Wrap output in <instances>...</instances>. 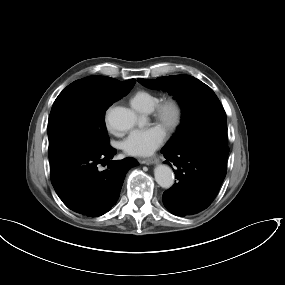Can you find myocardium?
<instances>
[{
	"label": "myocardium",
	"mask_w": 285,
	"mask_h": 285,
	"mask_svg": "<svg viewBox=\"0 0 285 285\" xmlns=\"http://www.w3.org/2000/svg\"><path fill=\"white\" fill-rule=\"evenodd\" d=\"M153 117L169 133L175 132L183 121V107L175 97L160 100L153 108Z\"/></svg>",
	"instance_id": "1"
}]
</instances>
